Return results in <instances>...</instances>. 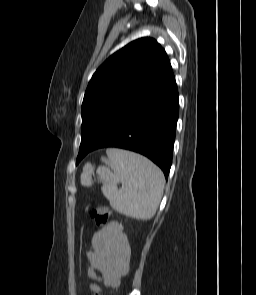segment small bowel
Returning <instances> with one entry per match:
<instances>
[{
  "label": "small bowel",
  "mask_w": 256,
  "mask_h": 295,
  "mask_svg": "<svg viewBox=\"0 0 256 295\" xmlns=\"http://www.w3.org/2000/svg\"><path fill=\"white\" fill-rule=\"evenodd\" d=\"M130 246L126 234L117 221H110L103 229L96 232L86 252L87 273L91 280L102 275L104 283L115 287L127 273L130 261ZM89 288L99 292V286L91 282Z\"/></svg>",
  "instance_id": "small-bowel-1"
}]
</instances>
